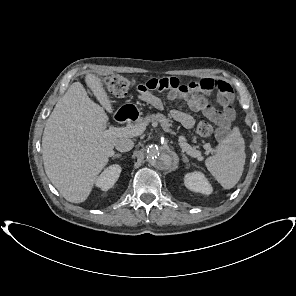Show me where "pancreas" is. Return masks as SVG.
<instances>
[{
    "mask_svg": "<svg viewBox=\"0 0 296 296\" xmlns=\"http://www.w3.org/2000/svg\"><path fill=\"white\" fill-rule=\"evenodd\" d=\"M149 123L160 125L164 131L171 132V129H170L171 121L168 118H166L163 114L149 115V116H146L145 118L139 119V121L137 122L138 125H141V124L148 125Z\"/></svg>",
    "mask_w": 296,
    "mask_h": 296,
    "instance_id": "obj_1",
    "label": "pancreas"
}]
</instances>
